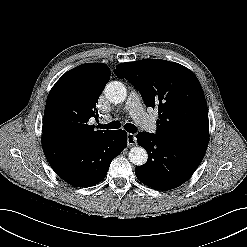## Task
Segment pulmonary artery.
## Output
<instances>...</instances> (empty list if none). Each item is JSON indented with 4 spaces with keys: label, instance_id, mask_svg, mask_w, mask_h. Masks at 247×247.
<instances>
[{
    "label": "pulmonary artery",
    "instance_id": "obj_1",
    "mask_svg": "<svg viewBox=\"0 0 247 247\" xmlns=\"http://www.w3.org/2000/svg\"><path fill=\"white\" fill-rule=\"evenodd\" d=\"M124 109L146 132L151 134L156 132V124L153 119L145 113L141 98L135 91L130 92Z\"/></svg>",
    "mask_w": 247,
    "mask_h": 247
}]
</instances>
